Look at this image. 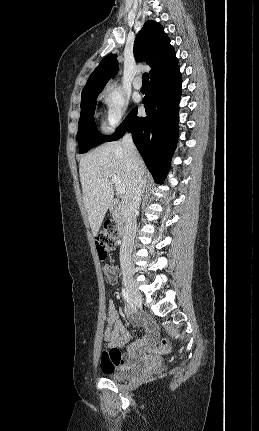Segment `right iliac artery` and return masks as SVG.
I'll return each mask as SVG.
<instances>
[{"instance_id": "82829eb1", "label": "right iliac artery", "mask_w": 259, "mask_h": 431, "mask_svg": "<svg viewBox=\"0 0 259 431\" xmlns=\"http://www.w3.org/2000/svg\"><path fill=\"white\" fill-rule=\"evenodd\" d=\"M122 295H123L124 299H125L127 302H130V296H129V293H128V291H126V289H124V288H122Z\"/></svg>"}]
</instances>
